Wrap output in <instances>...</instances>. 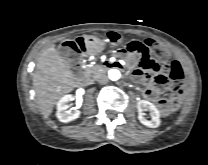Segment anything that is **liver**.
Segmentation results:
<instances>
[{
    "label": "liver",
    "instance_id": "6515ba94",
    "mask_svg": "<svg viewBox=\"0 0 208 165\" xmlns=\"http://www.w3.org/2000/svg\"><path fill=\"white\" fill-rule=\"evenodd\" d=\"M76 86L70 67L60 57L54 45L45 49L37 59L33 73V88L40 111L49 116L55 104Z\"/></svg>",
    "mask_w": 208,
    "mask_h": 165
}]
</instances>
